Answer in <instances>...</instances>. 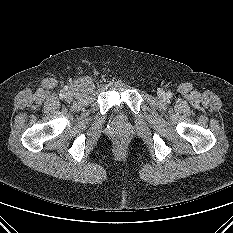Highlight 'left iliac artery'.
Segmentation results:
<instances>
[{
  "mask_svg": "<svg viewBox=\"0 0 233 233\" xmlns=\"http://www.w3.org/2000/svg\"><path fill=\"white\" fill-rule=\"evenodd\" d=\"M167 97H168V98H171V97H172V94H171V93H167Z\"/></svg>",
  "mask_w": 233,
  "mask_h": 233,
  "instance_id": "44dca946",
  "label": "left iliac artery"
}]
</instances>
